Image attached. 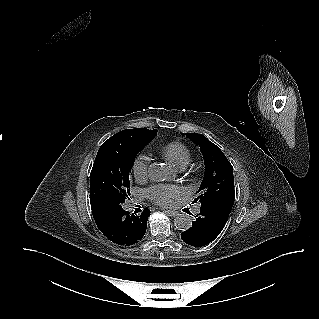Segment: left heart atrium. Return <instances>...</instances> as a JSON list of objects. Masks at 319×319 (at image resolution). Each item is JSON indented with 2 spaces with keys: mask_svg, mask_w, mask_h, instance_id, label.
<instances>
[{
  "mask_svg": "<svg viewBox=\"0 0 319 319\" xmlns=\"http://www.w3.org/2000/svg\"><path fill=\"white\" fill-rule=\"evenodd\" d=\"M146 193L156 204L168 206L180 194V190L174 185H155L147 189Z\"/></svg>",
  "mask_w": 319,
  "mask_h": 319,
  "instance_id": "1",
  "label": "left heart atrium"
}]
</instances>
